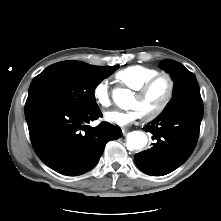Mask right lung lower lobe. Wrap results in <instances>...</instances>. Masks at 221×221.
<instances>
[{
    "mask_svg": "<svg viewBox=\"0 0 221 221\" xmlns=\"http://www.w3.org/2000/svg\"><path fill=\"white\" fill-rule=\"evenodd\" d=\"M30 138L38 157L51 169L68 176L91 170L108 141L121 137L122 131L108 122L87 125L102 117L98 108L78 110L42 102L25 105Z\"/></svg>",
    "mask_w": 221,
    "mask_h": 221,
    "instance_id": "1",
    "label": "right lung lower lobe"
}]
</instances>
